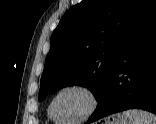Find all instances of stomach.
<instances>
[{
  "label": "stomach",
  "instance_id": "stomach-1",
  "mask_svg": "<svg viewBox=\"0 0 156 124\" xmlns=\"http://www.w3.org/2000/svg\"><path fill=\"white\" fill-rule=\"evenodd\" d=\"M105 124H133V121L125 119L123 115L119 114L112 121L110 120L106 121Z\"/></svg>",
  "mask_w": 156,
  "mask_h": 124
}]
</instances>
